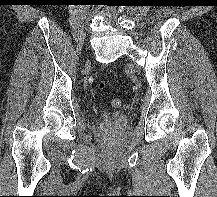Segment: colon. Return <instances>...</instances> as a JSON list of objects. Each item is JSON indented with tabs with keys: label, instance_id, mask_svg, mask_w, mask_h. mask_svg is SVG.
Listing matches in <instances>:
<instances>
[{
	"label": "colon",
	"instance_id": "colon-1",
	"mask_svg": "<svg viewBox=\"0 0 217 197\" xmlns=\"http://www.w3.org/2000/svg\"><path fill=\"white\" fill-rule=\"evenodd\" d=\"M98 86H99L100 89H103L105 87V81L101 80L99 82ZM111 106L115 107V108L120 107L121 106V100L118 99V98L112 99L111 100Z\"/></svg>",
	"mask_w": 217,
	"mask_h": 197
}]
</instances>
